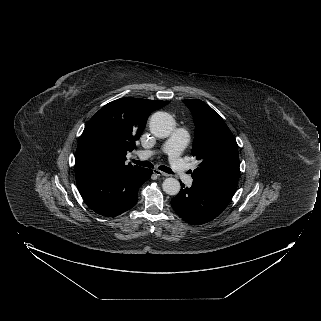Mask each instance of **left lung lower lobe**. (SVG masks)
I'll return each mask as SVG.
<instances>
[{
  "instance_id": "0a47b994",
  "label": "left lung lower lobe",
  "mask_w": 321,
  "mask_h": 321,
  "mask_svg": "<svg viewBox=\"0 0 321 321\" xmlns=\"http://www.w3.org/2000/svg\"><path fill=\"white\" fill-rule=\"evenodd\" d=\"M238 181L223 179L193 180L190 188L181 183L179 194L171 200L174 211L192 225L216 218L230 203Z\"/></svg>"
}]
</instances>
